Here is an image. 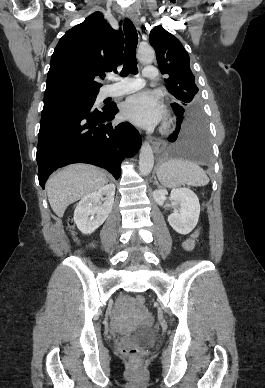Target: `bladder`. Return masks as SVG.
Masks as SVG:
<instances>
[{
    "label": "bladder",
    "instance_id": "31cf9c89",
    "mask_svg": "<svg viewBox=\"0 0 265 388\" xmlns=\"http://www.w3.org/2000/svg\"><path fill=\"white\" fill-rule=\"evenodd\" d=\"M144 332H147V331L144 329H139L136 332H134L133 335H134V337H137V336L142 335V333H144Z\"/></svg>",
    "mask_w": 265,
    "mask_h": 388
}]
</instances>
